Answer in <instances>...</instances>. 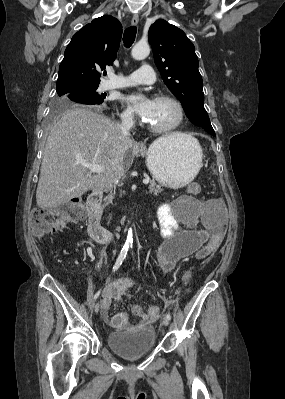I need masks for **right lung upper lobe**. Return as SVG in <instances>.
<instances>
[{"mask_svg": "<svg viewBox=\"0 0 285 399\" xmlns=\"http://www.w3.org/2000/svg\"><path fill=\"white\" fill-rule=\"evenodd\" d=\"M121 35V23L110 15L94 19L74 34L59 67L56 90L98 87L100 71L116 59Z\"/></svg>", "mask_w": 285, "mask_h": 399, "instance_id": "1", "label": "right lung upper lobe"}]
</instances>
